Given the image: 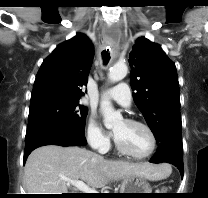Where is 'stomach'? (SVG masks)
Segmentation results:
<instances>
[{
    "instance_id": "obj_1",
    "label": "stomach",
    "mask_w": 208,
    "mask_h": 198,
    "mask_svg": "<svg viewBox=\"0 0 208 198\" xmlns=\"http://www.w3.org/2000/svg\"><path fill=\"white\" fill-rule=\"evenodd\" d=\"M147 180L139 176H130L123 179L119 193H152ZM124 197L144 198L145 194H123Z\"/></svg>"
}]
</instances>
